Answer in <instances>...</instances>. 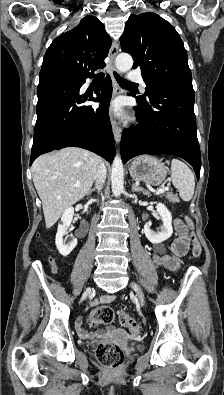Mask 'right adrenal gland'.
<instances>
[{"mask_svg":"<svg viewBox=\"0 0 224 395\" xmlns=\"http://www.w3.org/2000/svg\"><path fill=\"white\" fill-rule=\"evenodd\" d=\"M96 190V188H93L89 191V194H91L92 192H94Z\"/></svg>","mask_w":224,"mask_h":395,"instance_id":"2a0ac1e0","label":"right adrenal gland"}]
</instances>
